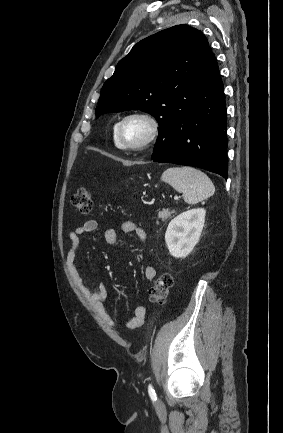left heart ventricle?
<instances>
[{"label":"left heart ventricle","instance_id":"left-heart-ventricle-1","mask_svg":"<svg viewBox=\"0 0 283 433\" xmlns=\"http://www.w3.org/2000/svg\"><path fill=\"white\" fill-rule=\"evenodd\" d=\"M149 133V124L140 118L126 121L121 129V140L124 143H136L143 140Z\"/></svg>","mask_w":283,"mask_h":433}]
</instances>
